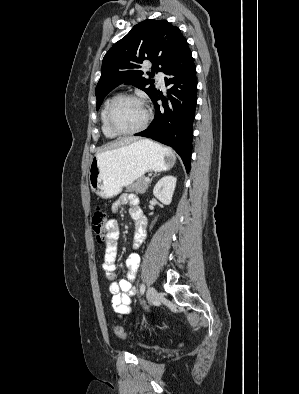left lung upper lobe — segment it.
<instances>
[{
  "mask_svg": "<svg viewBox=\"0 0 299 394\" xmlns=\"http://www.w3.org/2000/svg\"><path fill=\"white\" fill-rule=\"evenodd\" d=\"M186 45V38L179 28L166 20L147 19L135 25L103 58L101 77L95 91L96 109H99L104 97L122 83L145 91L152 100L157 89L150 79L143 77L140 64L144 60L152 62L150 76L155 71L164 72Z\"/></svg>",
  "mask_w": 299,
  "mask_h": 394,
  "instance_id": "obj_1",
  "label": "left lung upper lobe"
}]
</instances>
